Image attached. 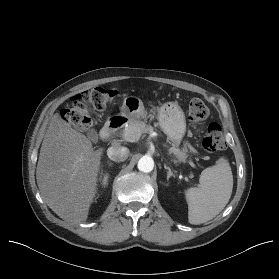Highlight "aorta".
<instances>
[{"label": "aorta", "mask_w": 279, "mask_h": 279, "mask_svg": "<svg viewBox=\"0 0 279 279\" xmlns=\"http://www.w3.org/2000/svg\"><path fill=\"white\" fill-rule=\"evenodd\" d=\"M137 167L142 172H151L154 168V161L150 156H143L139 159Z\"/></svg>", "instance_id": "1"}]
</instances>
